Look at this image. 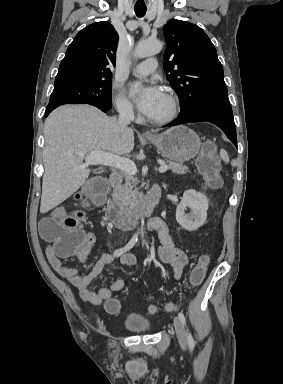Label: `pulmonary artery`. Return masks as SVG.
Here are the masks:
<instances>
[{
  "mask_svg": "<svg viewBox=\"0 0 283 384\" xmlns=\"http://www.w3.org/2000/svg\"><path fill=\"white\" fill-rule=\"evenodd\" d=\"M156 64L154 61L140 62L133 67V74L135 76H146L151 74L153 71H156Z\"/></svg>",
  "mask_w": 283,
  "mask_h": 384,
  "instance_id": "1",
  "label": "pulmonary artery"
}]
</instances>
